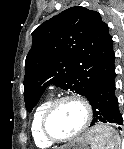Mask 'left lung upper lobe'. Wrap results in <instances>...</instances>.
<instances>
[{"label": "left lung upper lobe", "mask_w": 124, "mask_h": 149, "mask_svg": "<svg viewBox=\"0 0 124 149\" xmlns=\"http://www.w3.org/2000/svg\"><path fill=\"white\" fill-rule=\"evenodd\" d=\"M24 99L30 112L49 84L85 96L115 70L113 40L98 12L72 7L32 32Z\"/></svg>", "instance_id": "1"}]
</instances>
